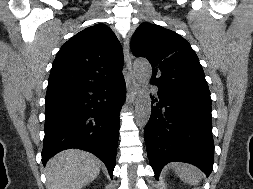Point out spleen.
Here are the masks:
<instances>
[{"label":"spleen","instance_id":"1","mask_svg":"<svg viewBox=\"0 0 253 189\" xmlns=\"http://www.w3.org/2000/svg\"><path fill=\"white\" fill-rule=\"evenodd\" d=\"M175 173L185 183L196 185L202 178V173L198 168L186 163H176L173 165Z\"/></svg>","mask_w":253,"mask_h":189}]
</instances>
